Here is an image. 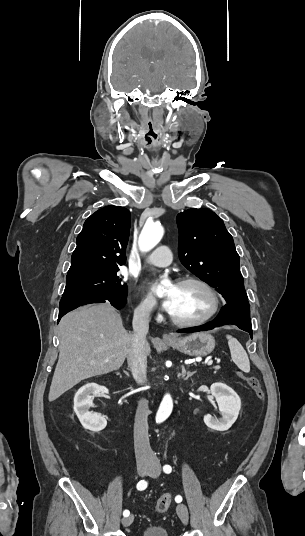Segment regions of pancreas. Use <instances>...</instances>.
I'll use <instances>...</instances> for the list:
<instances>
[{
  "instance_id": "cf45deb5",
  "label": "pancreas",
  "mask_w": 305,
  "mask_h": 536,
  "mask_svg": "<svg viewBox=\"0 0 305 536\" xmlns=\"http://www.w3.org/2000/svg\"><path fill=\"white\" fill-rule=\"evenodd\" d=\"M215 370H219V368H215Z\"/></svg>"
}]
</instances>
